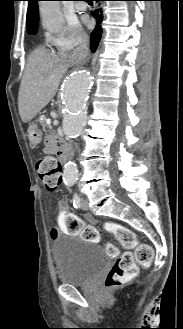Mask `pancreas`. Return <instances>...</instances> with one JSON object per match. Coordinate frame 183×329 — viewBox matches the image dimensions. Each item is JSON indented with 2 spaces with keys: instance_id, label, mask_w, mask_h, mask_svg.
I'll return each mask as SVG.
<instances>
[{
  "instance_id": "1",
  "label": "pancreas",
  "mask_w": 183,
  "mask_h": 329,
  "mask_svg": "<svg viewBox=\"0 0 183 329\" xmlns=\"http://www.w3.org/2000/svg\"><path fill=\"white\" fill-rule=\"evenodd\" d=\"M40 124L41 126L43 127V131L47 132L48 131V127H47V123H46V118L43 117L41 120H40Z\"/></svg>"
}]
</instances>
